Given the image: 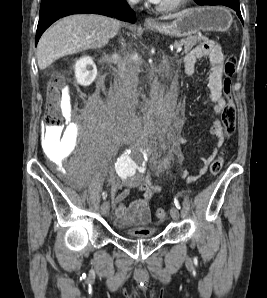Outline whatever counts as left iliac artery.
Wrapping results in <instances>:
<instances>
[{
	"mask_svg": "<svg viewBox=\"0 0 267 298\" xmlns=\"http://www.w3.org/2000/svg\"><path fill=\"white\" fill-rule=\"evenodd\" d=\"M174 204L178 209H180V203H179L178 199L174 198Z\"/></svg>",
	"mask_w": 267,
	"mask_h": 298,
	"instance_id": "obj_1",
	"label": "left iliac artery"
}]
</instances>
